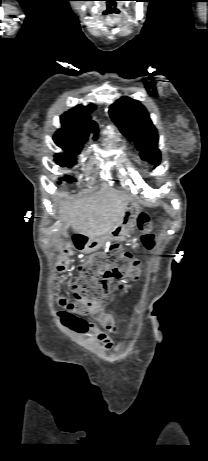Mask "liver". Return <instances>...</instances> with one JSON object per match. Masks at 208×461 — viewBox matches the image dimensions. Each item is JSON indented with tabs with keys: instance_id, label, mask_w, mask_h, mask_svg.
<instances>
[{
	"instance_id": "1",
	"label": "liver",
	"mask_w": 208,
	"mask_h": 461,
	"mask_svg": "<svg viewBox=\"0 0 208 461\" xmlns=\"http://www.w3.org/2000/svg\"><path fill=\"white\" fill-rule=\"evenodd\" d=\"M129 201L130 197L124 192L103 188L87 198L60 202L62 228L72 226L76 233L89 239L105 236L118 224Z\"/></svg>"
}]
</instances>
